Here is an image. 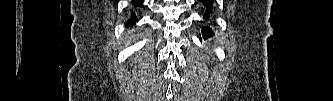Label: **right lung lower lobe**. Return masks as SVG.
<instances>
[{
	"mask_svg": "<svg viewBox=\"0 0 333 101\" xmlns=\"http://www.w3.org/2000/svg\"><path fill=\"white\" fill-rule=\"evenodd\" d=\"M143 0H133L132 4L134 6L140 5L142 4ZM138 21V18L135 16V13L132 11L131 12V18L127 20V24L133 26L136 24V22Z\"/></svg>",
	"mask_w": 333,
	"mask_h": 101,
	"instance_id": "obj_1",
	"label": "right lung lower lobe"
}]
</instances>
